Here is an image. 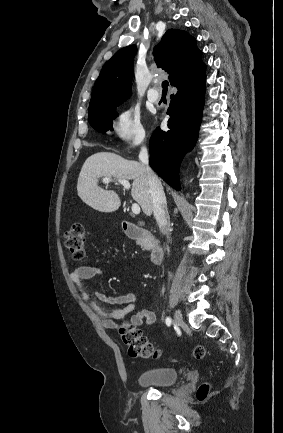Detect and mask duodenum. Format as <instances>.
<instances>
[{"label":"duodenum","mask_w":283,"mask_h":433,"mask_svg":"<svg viewBox=\"0 0 283 433\" xmlns=\"http://www.w3.org/2000/svg\"><path fill=\"white\" fill-rule=\"evenodd\" d=\"M123 228L129 238L150 249L151 261L154 264H160L163 261L164 249L154 234L129 221L123 223Z\"/></svg>","instance_id":"obj_1"}]
</instances>
